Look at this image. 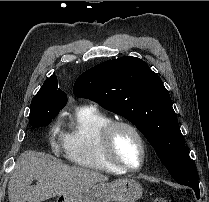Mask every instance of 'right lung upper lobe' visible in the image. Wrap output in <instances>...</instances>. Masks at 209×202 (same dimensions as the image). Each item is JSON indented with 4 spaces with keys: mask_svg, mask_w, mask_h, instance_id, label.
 I'll use <instances>...</instances> for the list:
<instances>
[{
    "mask_svg": "<svg viewBox=\"0 0 209 202\" xmlns=\"http://www.w3.org/2000/svg\"><path fill=\"white\" fill-rule=\"evenodd\" d=\"M39 92H51L53 97L48 101L49 104L64 107L67 103V95L61 89H58L57 77L52 75L48 78Z\"/></svg>",
    "mask_w": 209,
    "mask_h": 202,
    "instance_id": "obj_1",
    "label": "right lung upper lobe"
}]
</instances>
